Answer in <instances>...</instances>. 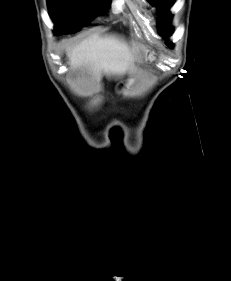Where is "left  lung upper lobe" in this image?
I'll list each match as a JSON object with an SVG mask.
<instances>
[{
	"mask_svg": "<svg viewBox=\"0 0 231 281\" xmlns=\"http://www.w3.org/2000/svg\"><path fill=\"white\" fill-rule=\"evenodd\" d=\"M153 6L157 7L159 11L165 12L173 5V0H148ZM171 19L169 14H161L158 19V30L159 33L166 37L171 33V27L168 25ZM171 46V44H168Z\"/></svg>",
	"mask_w": 231,
	"mask_h": 281,
	"instance_id": "5c2ea615",
	"label": "left lung upper lobe"
}]
</instances>
